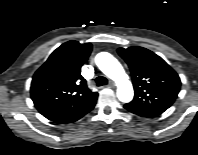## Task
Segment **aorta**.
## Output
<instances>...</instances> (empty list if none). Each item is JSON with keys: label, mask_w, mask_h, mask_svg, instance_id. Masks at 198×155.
<instances>
[{"label": "aorta", "mask_w": 198, "mask_h": 155, "mask_svg": "<svg viewBox=\"0 0 198 155\" xmlns=\"http://www.w3.org/2000/svg\"><path fill=\"white\" fill-rule=\"evenodd\" d=\"M98 68L117 85V97L123 103L133 99L134 90L128 75L120 62L108 52H100L95 57Z\"/></svg>", "instance_id": "aorta-1"}]
</instances>
